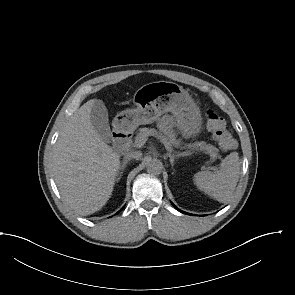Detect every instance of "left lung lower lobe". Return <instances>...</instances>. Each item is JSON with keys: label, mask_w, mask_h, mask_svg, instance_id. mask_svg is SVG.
I'll use <instances>...</instances> for the list:
<instances>
[{"label": "left lung lower lobe", "mask_w": 295, "mask_h": 295, "mask_svg": "<svg viewBox=\"0 0 295 295\" xmlns=\"http://www.w3.org/2000/svg\"><path fill=\"white\" fill-rule=\"evenodd\" d=\"M174 206V205H173ZM175 207V206H174ZM178 211H180V212H182V213H185V214H187L186 212H184V211H181L180 209H178L177 207H175ZM189 214V213H188Z\"/></svg>", "instance_id": "1"}]
</instances>
